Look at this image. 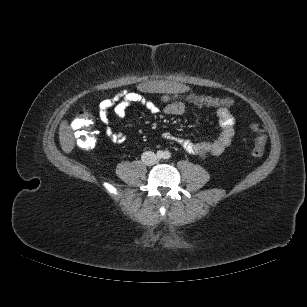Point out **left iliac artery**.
Wrapping results in <instances>:
<instances>
[{"label": "left iliac artery", "mask_w": 307, "mask_h": 307, "mask_svg": "<svg viewBox=\"0 0 307 307\" xmlns=\"http://www.w3.org/2000/svg\"><path fill=\"white\" fill-rule=\"evenodd\" d=\"M170 158H171V153L168 152V151H166V152L164 153V159H170Z\"/></svg>", "instance_id": "obj_1"}]
</instances>
